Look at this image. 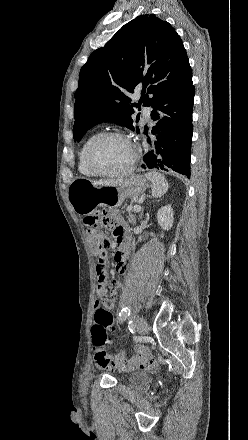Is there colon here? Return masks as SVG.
<instances>
[{"label":"colon","mask_w":248,"mask_h":440,"mask_svg":"<svg viewBox=\"0 0 248 440\" xmlns=\"http://www.w3.org/2000/svg\"><path fill=\"white\" fill-rule=\"evenodd\" d=\"M84 221L90 226L91 244L98 259L107 257L112 241L100 227V224L105 221L104 214L95 212L85 217ZM98 303L99 300H96L95 323L92 328L93 342L96 346L95 360L102 367H120L126 362L124 354L119 352L116 355H109L105 350V346L109 344L108 333L114 329L113 316Z\"/></svg>","instance_id":"5ec220e1"}]
</instances>
